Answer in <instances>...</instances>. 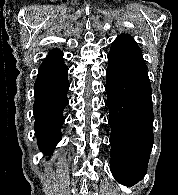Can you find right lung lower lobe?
<instances>
[{
    "label": "right lung lower lobe",
    "mask_w": 178,
    "mask_h": 195,
    "mask_svg": "<svg viewBox=\"0 0 178 195\" xmlns=\"http://www.w3.org/2000/svg\"><path fill=\"white\" fill-rule=\"evenodd\" d=\"M68 68L63 60L41 65L34 84L35 134L44 153H51L61 140L63 109L68 104Z\"/></svg>",
    "instance_id": "right-lung-lower-lobe-1"
}]
</instances>
